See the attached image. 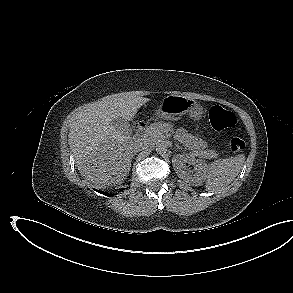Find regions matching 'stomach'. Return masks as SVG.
<instances>
[{
  "label": "stomach",
  "mask_w": 293,
  "mask_h": 293,
  "mask_svg": "<svg viewBox=\"0 0 293 293\" xmlns=\"http://www.w3.org/2000/svg\"><path fill=\"white\" fill-rule=\"evenodd\" d=\"M187 113L194 120H199L202 117L203 108L188 97L169 95L163 99L155 115L157 118L165 120H178Z\"/></svg>",
  "instance_id": "obj_1"
}]
</instances>
